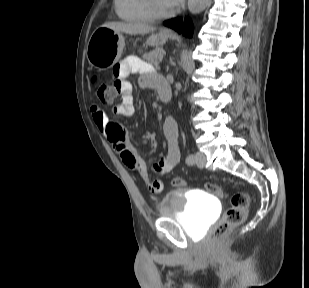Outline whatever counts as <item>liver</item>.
<instances>
[{"instance_id": "liver-1", "label": "liver", "mask_w": 309, "mask_h": 288, "mask_svg": "<svg viewBox=\"0 0 309 288\" xmlns=\"http://www.w3.org/2000/svg\"><path fill=\"white\" fill-rule=\"evenodd\" d=\"M102 27L110 28L116 32L126 33L130 35H144L155 31L154 27L145 24H131L124 22H108L102 25Z\"/></svg>"}]
</instances>
